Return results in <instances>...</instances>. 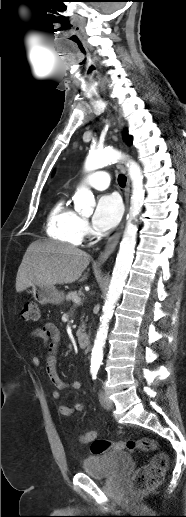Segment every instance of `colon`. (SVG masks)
<instances>
[{"instance_id": "obj_1", "label": "colon", "mask_w": 186, "mask_h": 517, "mask_svg": "<svg viewBox=\"0 0 186 517\" xmlns=\"http://www.w3.org/2000/svg\"><path fill=\"white\" fill-rule=\"evenodd\" d=\"M39 306L35 301H27L23 305L21 317L27 321H37L39 319ZM90 450L93 455L103 454L109 450H144L153 451L156 454L150 462L139 468L131 483L132 491L136 494L143 493L156 488L162 481L164 472L168 467L167 455L159 450L156 441L149 438H139L127 441H109L96 437L89 438Z\"/></svg>"}]
</instances>
